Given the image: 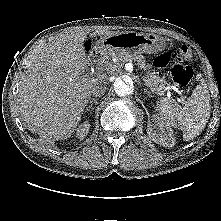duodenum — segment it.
Instances as JSON below:
<instances>
[{"label": "duodenum", "instance_id": "obj_1", "mask_svg": "<svg viewBox=\"0 0 221 221\" xmlns=\"http://www.w3.org/2000/svg\"><path fill=\"white\" fill-rule=\"evenodd\" d=\"M100 58H101V53L98 51H93L89 54L88 61L90 64H95L100 60Z\"/></svg>", "mask_w": 221, "mask_h": 221}]
</instances>
